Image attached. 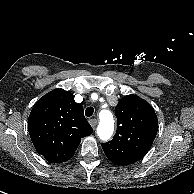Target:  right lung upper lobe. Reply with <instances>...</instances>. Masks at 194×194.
Listing matches in <instances>:
<instances>
[{"instance_id": "1", "label": "right lung upper lobe", "mask_w": 194, "mask_h": 194, "mask_svg": "<svg viewBox=\"0 0 194 194\" xmlns=\"http://www.w3.org/2000/svg\"><path fill=\"white\" fill-rule=\"evenodd\" d=\"M28 130L37 152L51 163L69 160L81 138L92 134L83 107L74 101L73 94L63 89H55L36 102Z\"/></svg>"}]
</instances>
